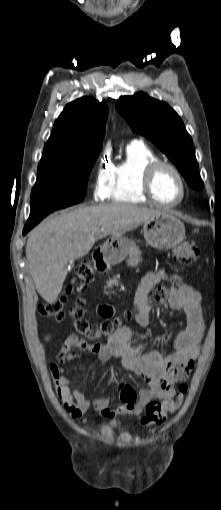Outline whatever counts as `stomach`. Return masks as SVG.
Wrapping results in <instances>:
<instances>
[{"mask_svg": "<svg viewBox=\"0 0 221 510\" xmlns=\"http://www.w3.org/2000/svg\"><path fill=\"white\" fill-rule=\"evenodd\" d=\"M144 238L150 246L158 250L176 247L185 238L184 224L174 215L162 212L143 225ZM105 248L113 262L128 257V265L135 267L141 261V251L136 243L127 237H112Z\"/></svg>", "mask_w": 221, "mask_h": 510, "instance_id": "0dacf381", "label": "stomach"}]
</instances>
